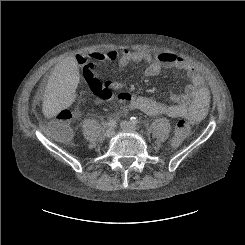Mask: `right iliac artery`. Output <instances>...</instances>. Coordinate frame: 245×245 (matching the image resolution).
I'll return each mask as SVG.
<instances>
[{
	"mask_svg": "<svg viewBox=\"0 0 245 245\" xmlns=\"http://www.w3.org/2000/svg\"><path fill=\"white\" fill-rule=\"evenodd\" d=\"M116 124H117V123H116L115 120H110V121L108 122V126L111 127V128H112V127H115Z\"/></svg>",
	"mask_w": 245,
	"mask_h": 245,
	"instance_id": "obj_1",
	"label": "right iliac artery"
}]
</instances>
